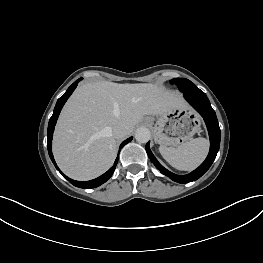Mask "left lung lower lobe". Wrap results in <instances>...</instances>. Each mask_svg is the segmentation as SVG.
Masks as SVG:
<instances>
[{"mask_svg": "<svg viewBox=\"0 0 263 263\" xmlns=\"http://www.w3.org/2000/svg\"><path fill=\"white\" fill-rule=\"evenodd\" d=\"M183 95L185 99L200 113L206 123L210 137V151L205 161L190 174L179 176L165 169L152 154L149 148V142L146 144L147 154L156 168L162 174L181 184L199 179L210 168L219 150L221 136L215 111L212 109L206 94L198 89L196 91L183 92Z\"/></svg>", "mask_w": 263, "mask_h": 263, "instance_id": "0a47b994", "label": "left lung lower lobe"}]
</instances>
